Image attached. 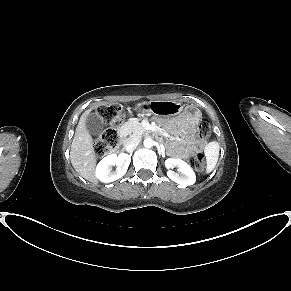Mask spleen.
<instances>
[{
	"mask_svg": "<svg viewBox=\"0 0 291 291\" xmlns=\"http://www.w3.org/2000/svg\"><path fill=\"white\" fill-rule=\"evenodd\" d=\"M205 156H206V169L207 173L211 172L218 161L219 157V144L216 141L210 142L205 147Z\"/></svg>",
	"mask_w": 291,
	"mask_h": 291,
	"instance_id": "1",
	"label": "spleen"
}]
</instances>
